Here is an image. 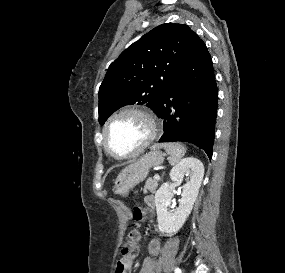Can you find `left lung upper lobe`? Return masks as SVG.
Wrapping results in <instances>:
<instances>
[{"label":"left lung upper lobe","mask_w":285,"mask_h":273,"mask_svg":"<svg viewBox=\"0 0 285 273\" xmlns=\"http://www.w3.org/2000/svg\"><path fill=\"white\" fill-rule=\"evenodd\" d=\"M194 32L184 24L157 26L109 67L99 89V123L119 108L145 104L154 111L168 91Z\"/></svg>","instance_id":"5c2ea615"}]
</instances>
